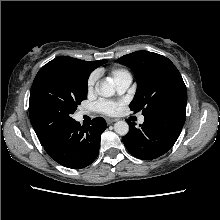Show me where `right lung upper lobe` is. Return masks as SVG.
I'll list each match as a JSON object with an SVG mask.
<instances>
[{"label":"right lung upper lobe","instance_id":"1","mask_svg":"<svg viewBox=\"0 0 220 220\" xmlns=\"http://www.w3.org/2000/svg\"><path fill=\"white\" fill-rule=\"evenodd\" d=\"M106 60H99V61H84L72 57H58L53 59L52 61L48 62L46 66H62V67H69L73 69H77L88 73L93 71L95 68L101 66ZM40 141V140H39Z\"/></svg>","mask_w":220,"mask_h":220}]
</instances>
